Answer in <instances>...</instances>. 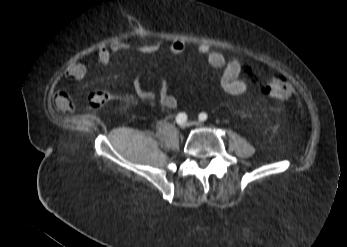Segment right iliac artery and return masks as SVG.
<instances>
[{
	"instance_id": "right-iliac-artery-1",
	"label": "right iliac artery",
	"mask_w": 347,
	"mask_h": 247,
	"mask_svg": "<svg viewBox=\"0 0 347 247\" xmlns=\"http://www.w3.org/2000/svg\"><path fill=\"white\" fill-rule=\"evenodd\" d=\"M186 121H187V115H186L185 113H179V114L176 116V122H177L179 125L184 124Z\"/></svg>"
}]
</instances>
